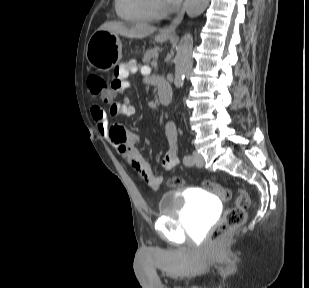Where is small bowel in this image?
Listing matches in <instances>:
<instances>
[{
    "label": "small bowel",
    "instance_id": "small-bowel-1",
    "mask_svg": "<svg viewBox=\"0 0 309 288\" xmlns=\"http://www.w3.org/2000/svg\"><path fill=\"white\" fill-rule=\"evenodd\" d=\"M131 64L126 63L115 70L114 83L119 84L120 92L129 90V83L126 81ZM161 81H158V86ZM94 123L99 134L105 138L112 147L122 155L125 163L131 167L138 176L147 184L154 188H158L162 184V177L155 174L151 166L141 156L137 149L139 137L131 132L126 131L123 127L117 124H109L108 117L103 108L93 106L91 108ZM110 113L113 116H132L134 109L130 104L129 98L125 97L124 101L115 102L110 107ZM166 136L168 140V149L163 157V167L166 170L173 169L179 163L177 151V131L173 122L166 125Z\"/></svg>",
    "mask_w": 309,
    "mask_h": 288
}]
</instances>
